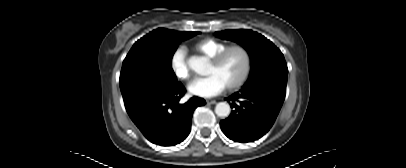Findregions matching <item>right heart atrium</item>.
I'll use <instances>...</instances> for the list:
<instances>
[{
    "label": "right heart atrium",
    "mask_w": 406,
    "mask_h": 168,
    "mask_svg": "<svg viewBox=\"0 0 406 168\" xmlns=\"http://www.w3.org/2000/svg\"><path fill=\"white\" fill-rule=\"evenodd\" d=\"M170 68L175 76L182 81L188 80L190 76L187 62V51L185 47L176 48L170 56Z\"/></svg>",
    "instance_id": "right-heart-atrium-1"
}]
</instances>
